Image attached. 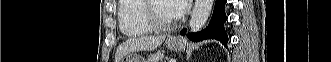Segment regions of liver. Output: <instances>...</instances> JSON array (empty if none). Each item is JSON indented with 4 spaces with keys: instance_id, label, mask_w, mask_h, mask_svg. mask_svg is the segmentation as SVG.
<instances>
[{
    "instance_id": "obj_1",
    "label": "liver",
    "mask_w": 331,
    "mask_h": 62,
    "mask_svg": "<svg viewBox=\"0 0 331 62\" xmlns=\"http://www.w3.org/2000/svg\"><path fill=\"white\" fill-rule=\"evenodd\" d=\"M164 39L165 35L130 38L118 47L115 62H119L123 56L134 51L155 50L163 43Z\"/></svg>"
}]
</instances>
